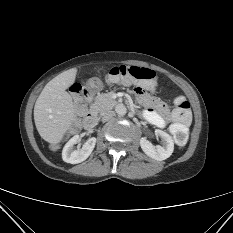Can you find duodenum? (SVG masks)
Masks as SVG:
<instances>
[{
	"instance_id": "obj_1",
	"label": "duodenum",
	"mask_w": 233,
	"mask_h": 233,
	"mask_svg": "<svg viewBox=\"0 0 233 233\" xmlns=\"http://www.w3.org/2000/svg\"><path fill=\"white\" fill-rule=\"evenodd\" d=\"M82 92L84 97L90 101L92 98L91 92L88 89H83ZM96 123H97V113L94 110H90L85 118L84 124L87 128H92L95 126Z\"/></svg>"
}]
</instances>
